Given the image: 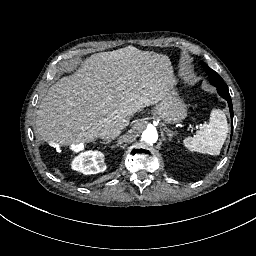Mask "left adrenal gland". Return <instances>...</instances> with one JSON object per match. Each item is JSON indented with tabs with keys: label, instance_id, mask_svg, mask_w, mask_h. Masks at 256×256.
<instances>
[{
	"label": "left adrenal gland",
	"instance_id": "a2214340",
	"mask_svg": "<svg viewBox=\"0 0 256 256\" xmlns=\"http://www.w3.org/2000/svg\"><path fill=\"white\" fill-rule=\"evenodd\" d=\"M164 131L167 133V136L169 137V140H171L172 137H173L174 135H176V132H175V131H172L171 129H169V128H167V127L164 128Z\"/></svg>",
	"mask_w": 256,
	"mask_h": 256
}]
</instances>
